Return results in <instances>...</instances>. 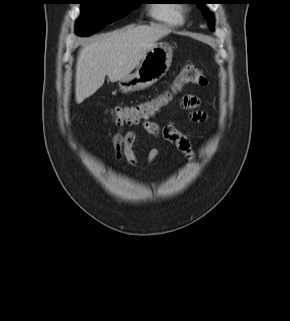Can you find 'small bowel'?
Segmentation results:
<instances>
[{"mask_svg": "<svg viewBox=\"0 0 290 321\" xmlns=\"http://www.w3.org/2000/svg\"><path fill=\"white\" fill-rule=\"evenodd\" d=\"M201 102L194 95H185L180 100V107L187 111L188 117L195 123H204L207 120V114L200 108ZM144 130L154 136H160L172 143L181 153L191 157L193 150L189 137L179 131L173 124L167 123L163 126L154 121L147 120L143 123ZM136 134L134 131L123 132L119 130L112 136V144L117 159H125L127 163L134 165L137 158L134 152V143ZM159 154L157 149L149 152L148 159L153 161Z\"/></svg>", "mask_w": 290, "mask_h": 321, "instance_id": "small-bowel-1", "label": "small bowel"}]
</instances>
